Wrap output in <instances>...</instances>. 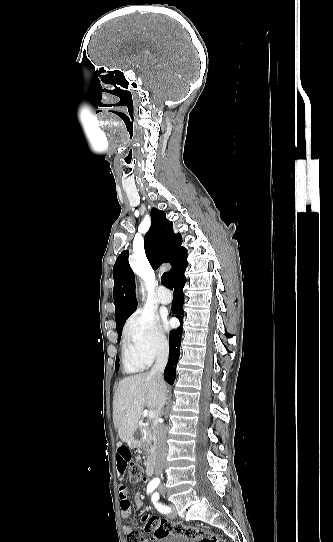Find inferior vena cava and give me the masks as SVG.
Wrapping results in <instances>:
<instances>
[{
	"mask_svg": "<svg viewBox=\"0 0 333 542\" xmlns=\"http://www.w3.org/2000/svg\"><path fill=\"white\" fill-rule=\"evenodd\" d=\"M168 362V348L164 346L157 354L156 362L149 372V376H155L158 382H163V372ZM166 404V388L159 392V398L157 400V412L160 418L161 410ZM166 456V430L163 424H157V448L155 458V476H161Z\"/></svg>",
	"mask_w": 333,
	"mask_h": 542,
	"instance_id": "obj_1",
	"label": "inferior vena cava"
}]
</instances>
